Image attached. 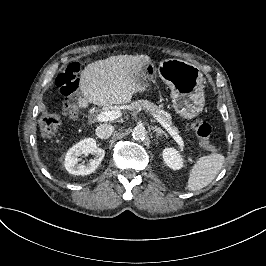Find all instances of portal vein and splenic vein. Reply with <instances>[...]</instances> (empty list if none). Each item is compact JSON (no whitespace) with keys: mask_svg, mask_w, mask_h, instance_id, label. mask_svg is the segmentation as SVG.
I'll use <instances>...</instances> for the list:
<instances>
[{"mask_svg":"<svg viewBox=\"0 0 266 266\" xmlns=\"http://www.w3.org/2000/svg\"><path fill=\"white\" fill-rule=\"evenodd\" d=\"M119 116H120V113L118 111H111V110L110 111H104V112H101L98 115H96V122L111 121V120L118 118ZM161 124L168 131V133L171 134V136L173 137V139L177 142V144L179 146L185 145L182 137L173 130V128L170 126L169 123L167 124V123L161 122Z\"/></svg>","mask_w":266,"mask_h":266,"instance_id":"portal-vein-and-splenic-vein-1","label":"portal vein and splenic vein"}]
</instances>
